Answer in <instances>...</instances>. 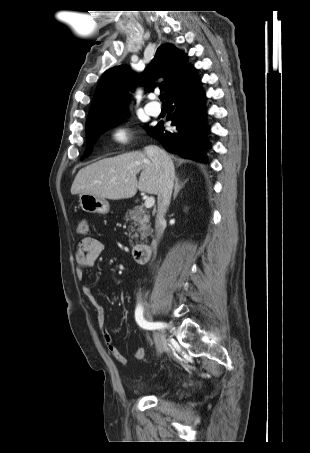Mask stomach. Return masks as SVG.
<instances>
[{
  "instance_id": "stomach-1",
  "label": "stomach",
  "mask_w": 310,
  "mask_h": 453,
  "mask_svg": "<svg viewBox=\"0 0 310 453\" xmlns=\"http://www.w3.org/2000/svg\"><path fill=\"white\" fill-rule=\"evenodd\" d=\"M79 203L82 210L88 213L107 214L110 210L106 199L91 194H80Z\"/></svg>"
}]
</instances>
